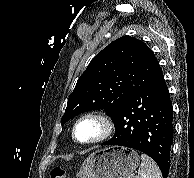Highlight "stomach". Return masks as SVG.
Listing matches in <instances>:
<instances>
[{"label":"stomach","mask_w":194,"mask_h":178,"mask_svg":"<svg viewBox=\"0 0 194 178\" xmlns=\"http://www.w3.org/2000/svg\"><path fill=\"white\" fill-rule=\"evenodd\" d=\"M139 162L137 152L126 147L97 150L83 162L77 178H128Z\"/></svg>","instance_id":"0dacf381"}]
</instances>
